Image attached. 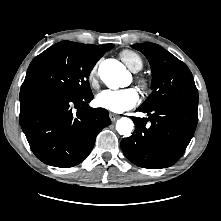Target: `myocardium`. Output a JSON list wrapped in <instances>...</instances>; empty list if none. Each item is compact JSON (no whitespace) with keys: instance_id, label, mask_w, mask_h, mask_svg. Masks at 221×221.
I'll return each instance as SVG.
<instances>
[{"instance_id":"myocardium-1","label":"myocardium","mask_w":221,"mask_h":221,"mask_svg":"<svg viewBox=\"0 0 221 221\" xmlns=\"http://www.w3.org/2000/svg\"><path fill=\"white\" fill-rule=\"evenodd\" d=\"M137 82L143 90H149L151 87L150 79L145 76H139Z\"/></svg>"}]
</instances>
